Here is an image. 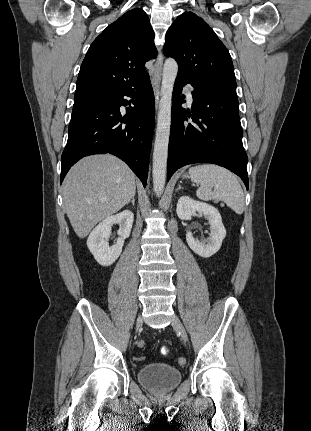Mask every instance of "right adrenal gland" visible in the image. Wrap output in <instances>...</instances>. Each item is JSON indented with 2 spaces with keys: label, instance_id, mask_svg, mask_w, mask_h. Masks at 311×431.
Instances as JSON below:
<instances>
[{
  "label": "right adrenal gland",
  "instance_id": "1",
  "mask_svg": "<svg viewBox=\"0 0 311 431\" xmlns=\"http://www.w3.org/2000/svg\"><path fill=\"white\" fill-rule=\"evenodd\" d=\"M130 202H131L132 206H135V198H134V196H133V198H131ZM130 202H129V204H130ZM126 206H128V204H126Z\"/></svg>",
  "mask_w": 311,
  "mask_h": 431
}]
</instances>
